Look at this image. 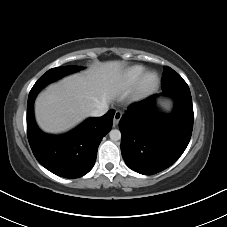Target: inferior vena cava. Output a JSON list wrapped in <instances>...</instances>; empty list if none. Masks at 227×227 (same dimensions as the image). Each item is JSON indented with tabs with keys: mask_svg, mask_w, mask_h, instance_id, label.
<instances>
[{
	"mask_svg": "<svg viewBox=\"0 0 227 227\" xmlns=\"http://www.w3.org/2000/svg\"><path fill=\"white\" fill-rule=\"evenodd\" d=\"M108 111V104L103 103L100 106H98L96 109H94L91 113L90 116L92 117H100L104 115Z\"/></svg>",
	"mask_w": 227,
	"mask_h": 227,
	"instance_id": "obj_1",
	"label": "inferior vena cava"
}]
</instances>
